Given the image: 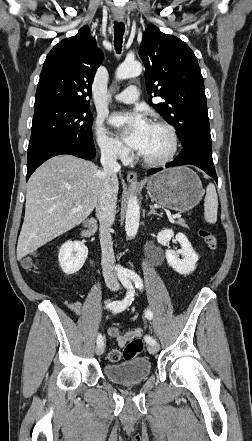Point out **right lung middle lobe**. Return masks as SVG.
Returning a JSON list of instances; mask_svg holds the SVG:
<instances>
[{"label":"right lung middle lobe","instance_id":"right-lung-middle-lobe-1","mask_svg":"<svg viewBox=\"0 0 252 441\" xmlns=\"http://www.w3.org/2000/svg\"><path fill=\"white\" fill-rule=\"evenodd\" d=\"M92 122L87 104L50 102L35 106L29 144L62 136L92 139Z\"/></svg>","mask_w":252,"mask_h":441}]
</instances>
